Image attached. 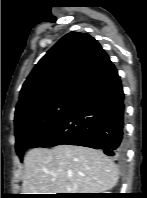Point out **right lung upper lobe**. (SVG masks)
<instances>
[{"instance_id": "cb5924a9", "label": "right lung upper lobe", "mask_w": 147, "mask_h": 198, "mask_svg": "<svg viewBox=\"0 0 147 198\" xmlns=\"http://www.w3.org/2000/svg\"><path fill=\"white\" fill-rule=\"evenodd\" d=\"M101 45L89 34L70 32L34 67L20 91L15 120L56 100H76L111 65Z\"/></svg>"}]
</instances>
